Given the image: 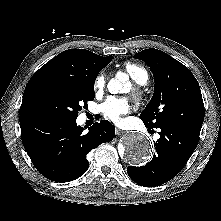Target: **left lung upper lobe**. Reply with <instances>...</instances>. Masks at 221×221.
I'll return each instance as SVG.
<instances>
[{"mask_svg": "<svg viewBox=\"0 0 221 221\" xmlns=\"http://www.w3.org/2000/svg\"><path fill=\"white\" fill-rule=\"evenodd\" d=\"M134 58L146 62L155 79L154 94L140 115L148 129L168 125L200 135L204 104L199 84L179 61L157 49H145Z\"/></svg>", "mask_w": 221, "mask_h": 221, "instance_id": "1", "label": "left lung upper lobe"}]
</instances>
